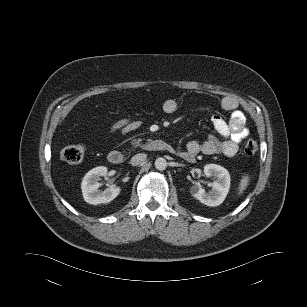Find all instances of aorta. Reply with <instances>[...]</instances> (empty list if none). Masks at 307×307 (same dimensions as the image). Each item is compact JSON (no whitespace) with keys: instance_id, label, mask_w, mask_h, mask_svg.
<instances>
[{"instance_id":"aorta-1","label":"aorta","mask_w":307,"mask_h":307,"mask_svg":"<svg viewBox=\"0 0 307 307\" xmlns=\"http://www.w3.org/2000/svg\"><path fill=\"white\" fill-rule=\"evenodd\" d=\"M155 168L159 171H163L167 168V161L166 159L162 158V157H159L155 160Z\"/></svg>"}]
</instances>
